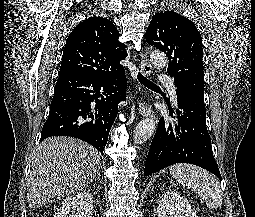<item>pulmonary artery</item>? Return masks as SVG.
Returning a JSON list of instances; mask_svg holds the SVG:
<instances>
[{"mask_svg":"<svg viewBox=\"0 0 255 217\" xmlns=\"http://www.w3.org/2000/svg\"><path fill=\"white\" fill-rule=\"evenodd\" d=\"M160 81L162 84H164L168 88L171 99H172L173 103L176 105L177 104V94H176L175 83H174L173 79L168 76H162L160 78Z\"/></svg>","mask_w":255,"mask_h":217,"instance_id":"1","label":"pulmonary artery"}]
</instances>
